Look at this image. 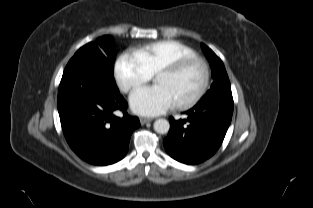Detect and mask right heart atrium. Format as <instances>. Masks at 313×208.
<instances>
[{
    "label": "right heart atrium",
    "instance_id": "1",
    "mask_svg": "<svg viewBox=\"0 0 313 208\" xmlns=\"http://www.w3.org/2000/svg\"><path fill=\"white\" fill-rule=\"evenodd\" d=\"M114 75L119 88L129 92L151 79L152 74L147 70L135 53H124L116 61Z\"/></svg>",
    "mask_w": 313,
    "mask_h": 208
}]
</instances>
